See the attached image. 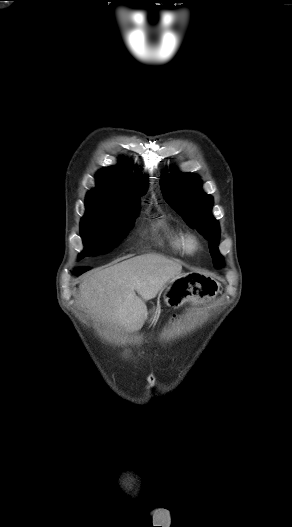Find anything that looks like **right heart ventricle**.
<instances>
[{"mask_svg": "<svg viewBox=\"0 0 292 527\" xmlns=\"http://www.w3.org/2000/svg\"><path fill=\"white\" fill-rule=\"evenodd\" d=\"M153 241L161 248L172 254L183 255L185 250L186 234L167 218L160 216L151 224Z\"/></svg>", "mask_w": 292, "mask_h": 527, "instance_id": "right-heart-ventricle-1", "label": "right heart ventricle"}]
</instances>
